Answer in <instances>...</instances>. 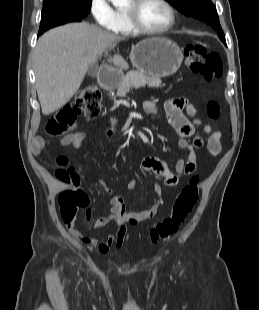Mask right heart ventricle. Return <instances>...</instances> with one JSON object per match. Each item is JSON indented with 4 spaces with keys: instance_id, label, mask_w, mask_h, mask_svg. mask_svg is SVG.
Returning a JSON list of instances; mask_svg holds the SVG:
<instances>
[{
    "instance_id": "obj_1",
    "label": "right heart ventricle",
    "mask_w": 259,
    "mask_h": 310,
    "mask_svg": "<svg viewBox=\"0 0 259 310\" xmlns=\"http://www.w3.org/2000/svg\"><path fill=\"white\" fill-rule=\"evenodd\" d=\"M117 17H118V26L114 31L123 35H129L133 33L127 21L125 12L122 10L117 11Z\"/></svg>"
}]
</instances>
